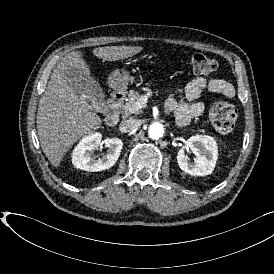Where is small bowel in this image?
Masks as SVG:
<instances>
[{
	"label": "small bowel",
	"instance_id": "small-bowel-1",
	"mask_svg": "<svg viewBox=\"0 0 274 274\" xmlns=\"http://www.w3.org/2000/svg\"><path fill=\"white\" fill-rule=\"evenodd\" d=\"M203 91L221 94L226 98H233L236 94L235 87L224 79H206L196 77L184 88V96L187 102L178 101L169 96L166 100V108L175 116V121L180 126L187 125L191 120L201 117L204 114L205 106L198 101Z\"/></svg>",
	"mask_w": 274,
	"mask_h": 274
}]
</instances>
